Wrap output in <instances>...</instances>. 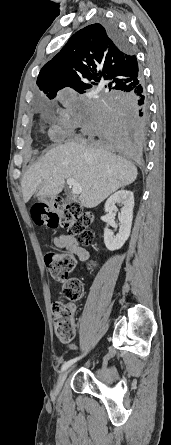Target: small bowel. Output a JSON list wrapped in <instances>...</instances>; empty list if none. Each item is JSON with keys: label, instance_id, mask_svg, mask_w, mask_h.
I'll return each instance as SVG.
<instances>
[{"label": "small bowel", "instance_id": "obj_1", "mask_svg": "<svg viewBox=\"0 0 171 445\" xmlns=\"http://www.w3.org/2000/svg\"><path fill=\"white\" fill-rule=\"evenodd\" d=\"M53 243L57 248L66 249L74 254L82 264H86L89 260L88 251L83 248L73 235L63 234L53 237ZM74 349V347H71Z\"/></svg>", "mask_w": 171, "mask_h": 445}]
</instances>
